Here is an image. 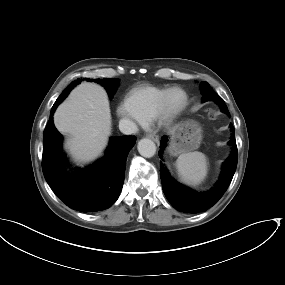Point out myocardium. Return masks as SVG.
I'll use <instances>...</instances> for the list:
<instances>
[{
	"label": "myocardium",
	"mask_w": 285,
	"mask_h": 285,
	"mask_svg": "<svg viewBox=\"0 0 285 285\" xmlns=\"http://www.w3.org/2000/svg\"><path fill=\"white\" fill-rule=\"evenodd\" d=\"M175 92L182 94L183 99L179 105H172L171 98ZM189 103L188 93L181 87L169 88L160 104L154 120L161 127H169L183 113Z\"/></svg>",
	"instance_id": "myocardium-1"
}]
</instances>
